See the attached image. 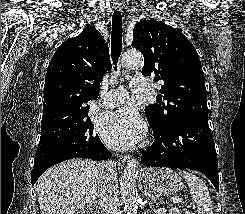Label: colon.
I'll list each match as a JSON object with an SVG mask.
<instances>
[{"label":"colon","instance_id":"colon-1","mask_svg":"<svg viewBox=\"0 0 245 214\" xmlns=\"http://www.w3.org/2000/svg\"><path fill=\"white\" fill-rule=\"evenodd\" d=\"M184 214H193L192 212L186 211Z\"/></svg>","mask_w":245,"mask_h":214}]
</instances>
